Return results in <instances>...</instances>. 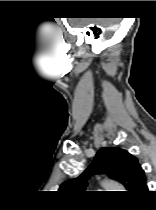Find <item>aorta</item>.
Wrapping results in <instances>:
<instances>
[{
    "label": "aorta",
    "mask_w": 156,
    "mask_h": 210,
    "mask_svg": "<svg viewBox=\"0 0 156 210\" xmlns=\"http://www.w3.org/2000/svg\"><path fill=\"white\" fill-rule=\"evenodd\" d=\"M102 186L108 191H120V189H122L121 185L111 180H104Z\"/></svg>",
    "instance_id": "762f6f07"
}]
</instances>
